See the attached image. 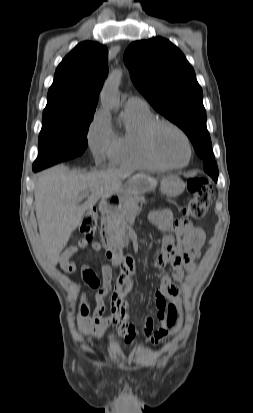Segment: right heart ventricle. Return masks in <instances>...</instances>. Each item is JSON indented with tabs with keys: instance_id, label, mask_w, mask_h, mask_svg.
I'll return each mask as SVG.
<instances>
[{
	"instance_id": "obj_1",
	"label": "right heart ventricle",
	"mask_w": 253,
	"mask_h": 413,
	"mask_svg": "<svg viewBox=\"0 0 253 413\" xmlns=\"http://www.w3.org/2000/svg\"><path fill=\"white\" fill-rule=\"evenodd\" d=\"M154 120L148 108L125 107L121 115L122 130L114 134V145L109 155L112 165L134 169L161 168L149 157L143 142L144 130Z\"/></svg>"
}]
</instances>
